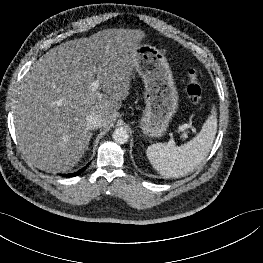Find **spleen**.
Instances as JSON below:
<instances>
[{"label":"spleen","instance_id":"obj_1","mask_svg":"<svg viewBox=\"0 0 263 263\" xmlns=\"http://www.w3.org/2000/svg\"><path fill=\"white\" fill-rule=\"evenodd\" d=\"M216 107L205 121L200 133L189 142L172 147L156 143L146 150L147 158L161 175L179 178L192 172L209 154L217 132Z\"/></svg>","mask_w":263,"mask_h":263}]
</instances>
